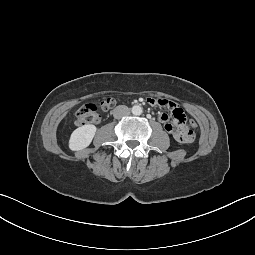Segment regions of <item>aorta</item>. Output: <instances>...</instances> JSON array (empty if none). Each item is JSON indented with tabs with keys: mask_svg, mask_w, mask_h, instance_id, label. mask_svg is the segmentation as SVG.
Masks as SVG:
<instances>
[{
	"mask_svg": "<svg viewBox=\"0 0 255 255\" xmlns=\"http://www.w3.org/2000/svg\"><path fill=\"white\" fill-rule=\"evenodd\" d=\"M133 115H141L143 112V109L140 105H134L131 109Z\"/></svg>",
	"mask_w": 255,
	"mask_h": 255,
	"instance_id": "1",
	"label": "aorta"
}]
</instances>
